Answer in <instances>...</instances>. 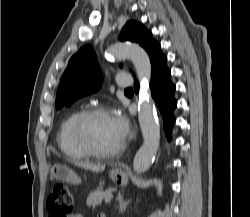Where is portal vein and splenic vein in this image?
<instances>
[{
    "label": "portal vein and splenic vein",
    "mask_w": 250,
    "mask_h": 217,
    "mask_svg": "<svg viewBox=\"0 0 250 217\" xmlns=\"http://www.w3.org/2000/svg\"><path fill=\"white\" fill-rule=\"evenodd\" d=\"M111 199H112V196H111V195L108 196V197H106V198H105V203H106V204L110 203Z\"/></svg>",
    "instance_id": "obj_1"
}]
</instances>
